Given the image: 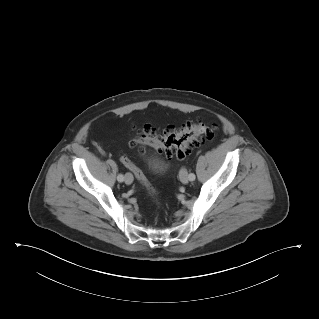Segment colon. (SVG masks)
I'll return each mask as SVG.
<instances>
[{
    "label": "colon",
    "mask_w": 319,
    "mask_h": 319,
    "mask_svg": "<svg viewBox=\"0 0 319 319\" xmlns=\"http://www.w3.org/2000/svg\"><path fill=\"white\" fill-rule=\"evenodd\" d=\"M214 137V126L203 121H187L180 127H167L163 130L144 126L139 130L136 143L140 146H151L164 157L185 158L190 150L202 145ZM122 164L137 178L148 194L156 199L157 194L149 184L145 174L127 157H121Z\"/></svg>",
    "instance_id": "5ec220e1"
}]
</instances>
